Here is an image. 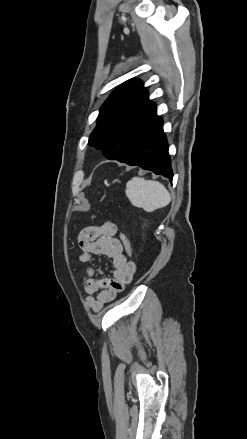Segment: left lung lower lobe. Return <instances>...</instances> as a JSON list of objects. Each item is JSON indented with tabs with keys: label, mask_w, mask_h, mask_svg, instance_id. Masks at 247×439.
Here are the masks:
<instances>
[{
	"label": "left lung lower lobe",
	"mask_w": 247,
	"mask_h": 439,
	"mask_svg": "<svg viewBox=\"0 0 247 439\" xmlns=\"http://www.w3.org/2000/svg\"><path fill=\"white\" fill-rule=\"evenodd\" d=\"M162 125L161 117L155 114L139 131L122 162L151 170L172 181L168 144Z\"/></svg>",
	"instance_id": "1"
}]
</instances>
